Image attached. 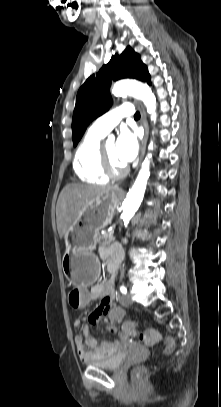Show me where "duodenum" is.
<instances>
[{"mask_svg": "<svg viewBox=\"0 0 221 407\" xmlns=\"http://www.w3.org/2000/svg\"><path fill=\"white\" fill-rule=\"evenodd\" d=\"M121 257H122V252L120 249L117 248L109 260V263H108L109 272H111V273L115 272V270L121 260Z\"/></svg>", "mask_w": 221, "mask_h": 407, "instance_id": "410a0bca", "label": "duodenum"}]
</instances>
